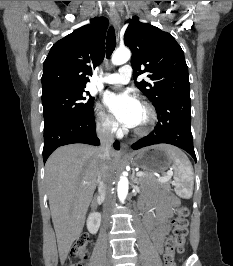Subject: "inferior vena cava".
I'll use <instances>...</instances> for the list:
<instances>
[{"label": "inferior vena cava", "mask_w": 233, "mask_h": 266, "mask_svg": "<svg viewBox=\"0 0 233 266\" xmlns=\"http://www.w3.org/2000/svg\"><path fill=\"white\" fill-rule=\"evenodd\" d=\"M114 127L111 123H104L98 125L97 136L100 139V147L98 148V158L100 161V169L98 172V191L101 196L105 198L103 209L104 214L111 210L114 205V199L111 194V186L113 182V175L108 169L107 162L109 160L110 151L114 142Z\"/></svg>", "instance_id": "obj_1"}]
</instances>
